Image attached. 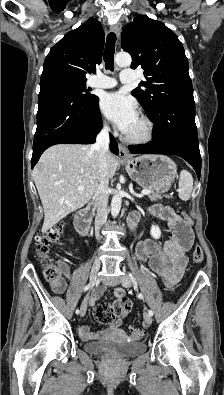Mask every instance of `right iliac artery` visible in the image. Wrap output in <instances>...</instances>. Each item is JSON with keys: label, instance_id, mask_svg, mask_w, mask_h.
I'll use <instances>...</instances> for the list:
<instances>
[{"label": "right iliac artery", "instance_id": "obj_1", "mask_svg": "<svg viewBox=\"0 0 224 395\" xmlns=\"http://www.w3.org/2000/svg\"><path fill=\"white\" fill-rule=\"evenodd\" d=\"M90 287H91V284H88V285H86L85 287H84V292H86V291H88L89 289H90ZM85 301V300H84ZM83 301V302H84ZM83 304V303H82ZM82 306V305H81ZM80 313V310L79 309H77L76 310V314H79Z\"/></svg>", "mask_w": 224, "mask_h": 395}]
</instances>
